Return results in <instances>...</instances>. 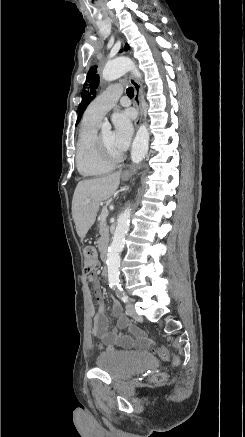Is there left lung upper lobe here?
<instances>
[{
	"label": "left lung upper lobe",
	"instance_id": "1",
	"mask_svg": "<svg viewBox=\"0 0 245 437\" xmlns=\"http://www.w3.org/2000/svg\"><path fill=\"white\" fill-rule=\"evenodd\" d=\"M128 49H129V45L126 44L124 50L127 51ZM120 52H122V50ZM98 85H99V75H97V67L93 66L90 68L86 77V82L83 86L82 101L78 107L79 116L77 118L76 125L80 122L82 114L86 109V107L88 106V104L94 99L96 94L95 89L98 87Z\"/></svg>",
	"mask_w": 245,
	"mask_h": 437
}]
</instances>
